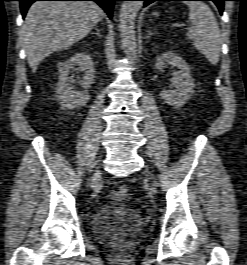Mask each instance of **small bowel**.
I'll return each instance as SVG.
<instances>
[{
	"instance_id": "1",
	"label": "small bowel",
	"mask_w": 247,
	"mask_h": 265,
	"mask_svg": "<svg viewBox=\"0 0 247 265\" xmlns=\"http://www.w3.org/2000/svg\"><path fill=\"white\" fill-rule=\"evenodd\" d=\"M109 195L112 197V198H115V199H121V200H128L130 199V194L126 195V196H121L118 192L116 191H111L109 193Z\"/></svg>"
}]
</instances>
